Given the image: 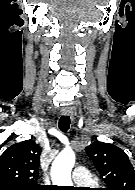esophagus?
Instances as JSON below:
<instances>
[{
  "mask_svg": "<svg viewBox=\"0 0 135 190\" xmlns=\"http://www.w3.org/2000/svg\"><path fill=\"white\" fill-rule=\"evenodd\" d=\"M62 114H63L64 116H68V115H71V114H72V111H71V109H70L69 107H64V108L62 109Z\"/></svg>",
  "mask_w": 135,
  "mask_h": 190,
  "instance_id": "obj_1",
  "label": "esophagus"
}]
</instances>
